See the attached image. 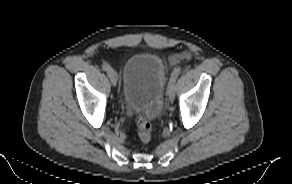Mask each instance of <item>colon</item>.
I'll list each match as a JSON object with an SVG mask.
<instances>
[{"mask_svg": "<svg viewBox=\"0 0 292 184\" xmlns=\"http://www.w3.org/2000/svg\"><path fill=\"white\" fill-rule=\"evenodd\" d=\"M138 137L140 141L146 143L151 140L152 126L150 122L143 116L137 117Z\"/></svg>", "mask_w": 292, "mask_h": 184, "instance_id": "5ec220e1", "label": "colon"}]
</instances>
